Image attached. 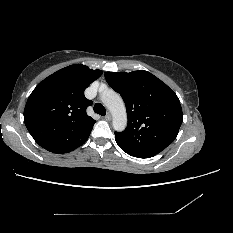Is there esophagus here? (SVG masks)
Masks as SVG:
<instances>
[{
  "instance_id": "34e87169",
  "label": "esophagus",
  "mask_w": 233,
  "mask_h": 233,
  "mask_svg": "<svg viewBox=\"0 0 233 233\" xmlns=\"http://www.w3.org/2000/svg\"><path fill=\"white\" fill-rule=\"evenodd\" d=\"M105 120H110L111 119V114L108 113L105 117H104Z\"/></svg>"
}]
</instances>
